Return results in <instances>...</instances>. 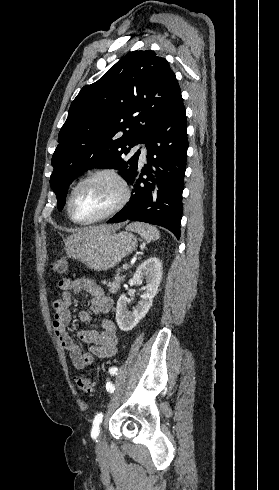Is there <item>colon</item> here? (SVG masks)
<instances>
[{
	"label": "colon",
	"mask_w": 279,
	"mask_h": 490,
	"mask_svg": "<svg viewBox=\"0 0 279 490\" xmlns=\"http://www.w3.org/2000/svg\"><path fill=\"white\" fill-rule=\"evenodd\" d=\"M51 268L55 274H58L61 276L65 275L67 273V270H68V259L66 257H60V258L55 259L52 262ZM76 384H77L78 390L81 393L86 394V395H91L93 393L94 382L90 377L85 376V375H81V376L77 377Z\"/></svg>",
	"instance_id": "5ec220e1"
}]
</instances>
